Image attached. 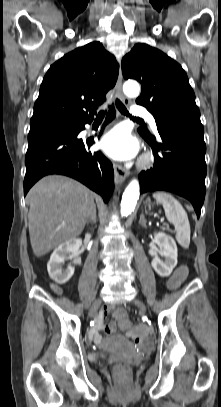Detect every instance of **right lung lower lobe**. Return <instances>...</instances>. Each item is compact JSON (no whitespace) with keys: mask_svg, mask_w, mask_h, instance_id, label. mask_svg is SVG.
I'll return each instance as SVG.
<instances>
[{"mask_svg":"<svg viewBox=\"0 0 221 407\" xmlns=\"http://www.w3.org/2000/svg\"><path fill=\"white\" fill-rule=\"evenodd\" d=\"M114 117L115 111L112 107L106 123ZM91 121L75 124L76 129L73 130L62 129L28 135L24 195L41 177L48 174H63L82 182L108 202L114 190L112 164L101 152L87 151L93 140L77 138V135L85 129V124Z\"/></svg>","mask_w":221,"mask_h":407,"instance_id":"right-lung-lower-lobe-1","label":"right lung lower lobe"}]
</instances>
